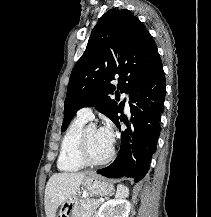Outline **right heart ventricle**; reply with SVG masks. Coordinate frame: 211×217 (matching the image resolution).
<instances>
[{
	"label": "right heart ventricle",
	"mask_w": 211,
	"mask_h": 217,
	"mask_svg": "<svg viewBox=\"0 0 211 217\" xmlns=\"http://www.w3.org/2000/svg\"><path fill=\"white\" fill-rule=\"evenodd\" d=\"M87 121L77 117L65 132L57 160L58 169L64 172H75L85 165L78 157V141Z\"/></svg>",
	"instance_id": "1"
}]
</instances>
